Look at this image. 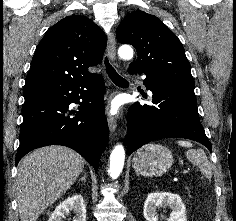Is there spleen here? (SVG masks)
I'll return each mask as SVG.
<instances>
[{"label": "spleen", "instance_id": "3e777b00", "mask_svg": "<svg viewBox=\"0 0 236 221\" xmlns=\"http://www.w3.org/2000/svg\"><path fill=\"white\" fill-rule=\"evenodd\" d=\"M178 145L182 146V147H186L189 148V150L187 151L186 155L188 160L199 167L201 173L207 177V178H211L212 176V169H211V165L210 162L205 154V152L202 149H193V144L190 141H186V140H179Z\"/></svg>", "mask_w": 236, "mask_h": 221}]
</instances>
